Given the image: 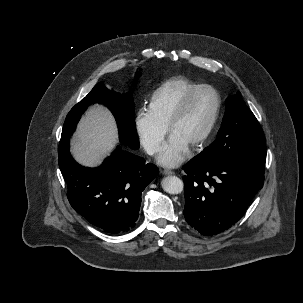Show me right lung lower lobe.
<instances>
[{"instance_id": "1", "label": "right lung lower lobe", "mask_w": 303, "mask_h": 303, "mask_svg": "<svg viewBox=\"0 0 303 303\" xmlns=\"http://www.w3.org/2000/svg\"><path fill=\"white\" fill-rule=\"evenodd\" d=\"M58 161L71 206L111 234H122L135 226L141 194L159 173L155 165L120 146L101 166L87 168L74 161L66 140L59 144Z\"/></svg>"}]
</instances>
